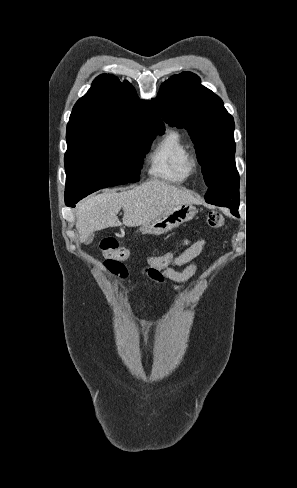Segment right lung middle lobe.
<instances>
[{"mask_svg": "<svg viewBox=\"0 0 297 488\" xmlns=\"http://www.w3.org/2000/svg\"><path fill=\"white\" fill-rule=\"evenodd\" d=\"M163 131L150 126L124 136L67 143L65 204H75L101 188L137 182L152 140Z\"/></svg>", "mask_w": 297, "mask_h": 488, "instance_id": "1", "label": "right lung middle lobe"}]
</instances>
